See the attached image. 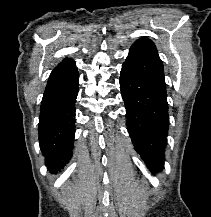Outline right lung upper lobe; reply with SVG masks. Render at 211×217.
<instances>
[{"label": "right lung upper lobe", "mask_w": 211, "mask_h": 217, "mask_svg": "<svg viewBox=\"0 0 211 217\" xmlns=\"http://www.w3.org/2000/svg\"><path fill=\"white\" fill-rule=\"evenodd\" d=\"M76 73L77 67L75 66V62L71 59H64L52 71L46 88L61 85L71 80Z\"/></svg>", "instance_id": "1"}]
</instances>
